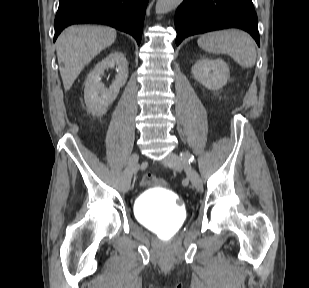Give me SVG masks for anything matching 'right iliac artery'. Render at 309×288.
<instances>
[{
    "label": "right iliac artery",
    "mask_w": 309,
    "mask_h": 288,
    "mask_svg": "<svg viewBox=\"0 0 309 288\" xmlns=\"http://www.w3.org/2000/svg\"><path fill=\"white\" fill-rule=\"evenodd\" d=\"M134 167H135V168H138V167H139V164H138V163H135V164H134Z\"/></svg>",
    "instance_id": "right-iliac-artery-1"
}]
</instances>
